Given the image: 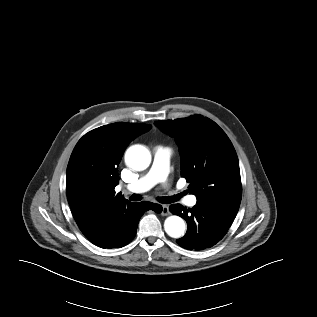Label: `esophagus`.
<instances>
[{
	"label": "esophagus",
	"instance_id": "obj_1",
	"mask_svg": "<svg viewBox=\"0 0 317 317\" xmlns=\"http://www.w3.org/2000/svg\"><path fill=\"white\" fill-rule=\"evenodd\" d=\"M169 208H168V206L167 205H163L162 206V210H161V215H163V216H167V215H169Z\"/></svg>",
	"mask_w": 317,
	"mask_h": 317
}]
</instances>
